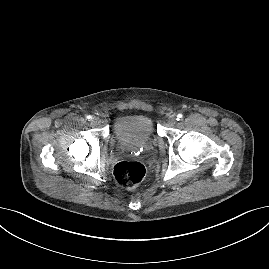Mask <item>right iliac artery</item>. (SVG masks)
<instances>
[{"label": "right iliac artery", "mask_w": 269, "mask_h": 269, "mask_svg": "<svg viewBox=\"0 0 269 269\" xmlns=\"http://www.w3.org/2000/svg\"><path fill=\"white\" fill-rule=\"evenodd\" d=\"M86 118H87L88 120H91V119H92V116H91V115H88Z\"/></svg>", "instance_id": "right-iliac-artery-1"}]
</instances>
